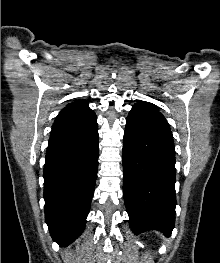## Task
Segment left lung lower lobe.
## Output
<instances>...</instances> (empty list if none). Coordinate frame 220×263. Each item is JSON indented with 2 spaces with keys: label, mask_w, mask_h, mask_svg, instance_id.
<instances>
[{
  "label": "left lung lower lobe",
  "mask_w": 220,
  "mask_h": 263,
  "mask_svg": "<svg viewBox=\"0 0 220 263\" xmlns=\"http://www.w3.org/2000/svg\"><path fill=\"white\" fill-rule=\"evenodd\" d=\"M123 195L135 234L159 230L167 237L175 224V149L172 135L132 118L123 141Z\"/></svg>",
  "instance_id": "left-lung-lower-lobe-1"
}]
</instances>
